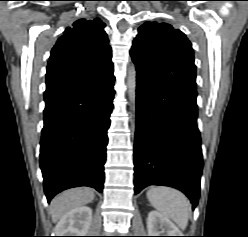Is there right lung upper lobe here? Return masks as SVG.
I'll return each instance as SVG.
<instances>
[{
    "instance_id": "right-lung-upper-lobe-1",
    "label": "right lung upper lobe",
    "mask_w": 248,
    "mask_h": 237,
    "mask_svg": "<svg viewBox=\"0 0 248 237\" xmlns=\"http://www.w3.org/2000/svg\"><path fill=\"white\" fill-rule=\"evenodd\" d=\"M105 24L79 19L67 27L51 51L46 89L83 82L113 68Z\"/></svg>"
}]
</instances>
